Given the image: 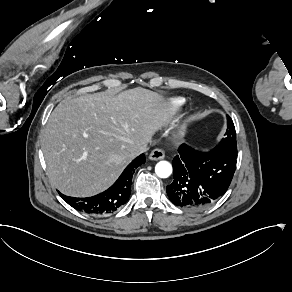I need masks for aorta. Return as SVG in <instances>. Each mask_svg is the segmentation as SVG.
<instances>
[{"instance_id": "762f6f07", "label": "aorta", "mask_w": 292, "mask_h": 292, "mask_svg": "<svg viewBox=\"0 0 292 292\" xmlns=\"http://www.w3.org/2000/svg\"><path fill=\"white\" fill-rule=\"evenodd\" d=\"M155 172L160 178H167L172 173V166L167 161H160L155 166Z\"/></svg>"}]
</instances>
